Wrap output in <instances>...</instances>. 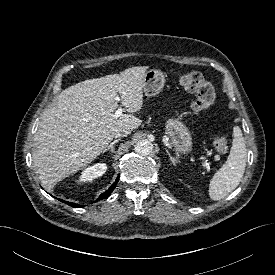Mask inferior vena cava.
I'll return each mask as SVG.
<instances>
[{
    "label": "inferior vena cava",
    "instance_id": "602c4592",
    "mask_svg": "<svg viewBox=\"0 0 275 275\" xmlns=\"http://www.w3.org/2000/svg\"><path fill=\"white\" fill-rule=\"evenodd\" d=\"M130 134V131L129 130H126V129H121L119 130L118 132H116L114 134V137L115 138H120V137H126Z\"/></svg>",
    "mask_w": 275,
    "mask_h": 275
}]
</instances>
